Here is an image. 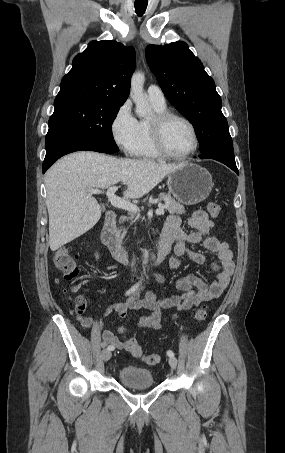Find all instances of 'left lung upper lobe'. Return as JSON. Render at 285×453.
Listing matches in <instances>:
<instances>
[{"mask_svg":"<svg viewBox=\"0 0 285 453\" xmlns=\"http://www.w3.org/2000/svg\"><path fill=\"white\" fill-rule=\"evenodd\" d=\"M146 60L166 98L194 126L200 152L219 148L233 151L215 83L188 45L182 41L148 45Z\"/></svg>","mask_w":285,"mask_h":453,"instance_id":"1","label":"left lung upper lobe"}]
</instances>
